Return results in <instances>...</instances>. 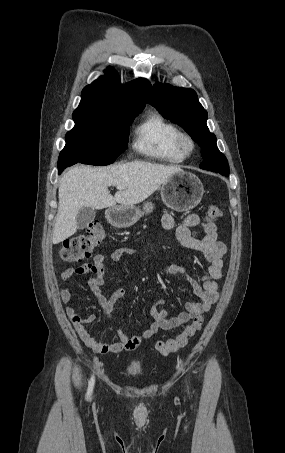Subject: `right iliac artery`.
<instances>
[{
    "label": "right iliac artery",
    "mask_w": 285,
    "mask_h": 453,
    "mask_svg": "<svg viewBox=\"0 0 285 453\" xmlns=\"http://www.w3.org/2000/svg\"><path fill=\"white\" fill-rule=\"evenodd\" d=\"M94 383H95V378H94V375L91 377L90 381H89V385H88V390H87V400L90 398L91 396V393L93 391V387H94Z\"/></svg>",
    "instance_id": "82829eb1"
}]
</instances>
